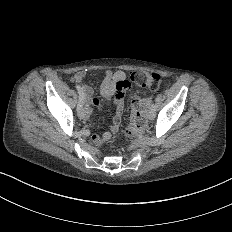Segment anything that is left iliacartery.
Segmentation results:
<instances>
[{"mask_svg":"<svg viewBox=\"0 0 232 232\" xmlns=\"http://www.w3.org/2000/svg\"><path fill=\"white\" fill-rule=\"evenodd\" d=\"M151 110H152L153 112L156 111V105H155L154 103H152V105H151Z\"/></svg>","mask_w":232,"mask_h":232,"instance_id":"44dca946","label":"left iliac artery"}]
</instances>
